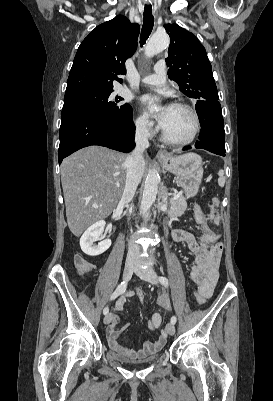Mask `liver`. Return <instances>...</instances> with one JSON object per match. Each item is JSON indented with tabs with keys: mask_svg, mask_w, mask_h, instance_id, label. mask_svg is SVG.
Returning <instances> with one entry per match:
<instances>
[{
	"mask_svg": "<svg viewBox=\"0 0 273 401\" xmlns=\"http://www.w3.org/2000/svg\"><path fill=\"white\" fill-rule=\"evenodd\" d=\"M126 158L105 146H86L64 158L61 182L68 227L75 237L117 207L125 188Z\"/></svg>",
	"mask_w": 273,
	"mask_h": 401,
	"instance_id": "1",
	"label": "liver"
}]
</instances>
